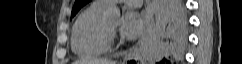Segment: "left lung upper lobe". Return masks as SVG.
Returning a JSON list of instances; mask_svg holds the SVG:
<instances>
[{"mask_svg": "<svg viewBox=\"0 0 242 64\" xmlns=\"http://www.w3.org/2000/svg\"><path fill=\"white\" fill-rule=\"evenodd\" d=\"M88 2H90V0H76L72 9L71 18L74 17L77 12Z\"/></svg>", "mask_w": 242, "mask_h": 64, "instance_id": "left-lung-upper-lobe-1", "label": "left lung upper lobe"}]
</instances>
